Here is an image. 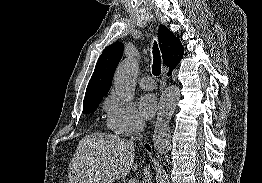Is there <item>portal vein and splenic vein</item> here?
I'll use <instances>...</instances> for the list:
<instances>
[{
    "label": "portal vein and splenic vein",
    "mask_w": 262,
    "mask_h": 183,
    "mask_svg": "<svg viewBox=\"0 0 262 183\" xmlns=\"http://www.w3.org/2000/svg\"><path fill=\"white\" fill-rule=\"evenodd\" d=\"M129 183H135V181H134V180H131Z\"/></svg>",
    "instance_id": "portal-vein-and-splenic-vein-1"
}]
</instances>
